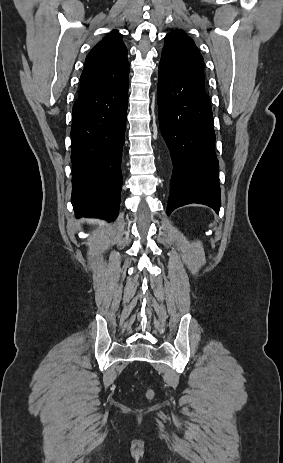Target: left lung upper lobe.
Wrapping results in <instances>:
<instances>
[{
  "mask_svg": "<svg viewBox=\"0 0 283 463\" xmlns=\"http://www.w3.org/2000/svg\"><path fill=\"white\" fill-rule=\"evenodd\" d=\"M161 60L168 63L190 83L205 89L203 57L193 40L180 30L173 31L165 36Z\"/></svg>",
  "mask_w": 283,
  "mask_h": 463,
  "instance_id": "left-lung-upper-lobe-1",
  "label": "left lung upper lobe"
}]
</instances>
